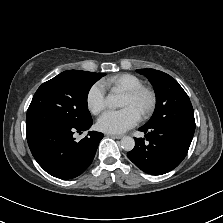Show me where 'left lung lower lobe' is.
<instances>
[{
	"mask_svg": "<svg viewBox=\"0 0 223 223\" xmlns=\"http://www.w3.org/2000/svg\"><path fill=\"white\" fill-rule=\"evenodd\" d=\"M138 130L145 133V138H135V147L127 155L138 168L152 175L165 174L177 167L194 135V130L171 125H144Z\"/></svg>",
	"mask_w": 223,
	"mask_h": 223,
	"instance_id": "left-lung-lower-lobe-1",
	"label": "left lung lower lobe"
}]
</instances>
